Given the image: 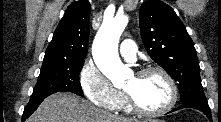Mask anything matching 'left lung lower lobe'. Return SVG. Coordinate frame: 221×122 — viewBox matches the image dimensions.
Masks as SVG:
<instances>
[{"mask_svg":"<svg viewBox=\"0 0 221 122\" xmlns=\"http://www.w3.org/2000/svg\"><path fill=\"white\" fill-rule=\"evenodd\" d=\"M189 107L202 111L204 114L207 115L209 120L212 121L211 111L206 100L183 103V105H181L180 107L176 109H173L169 113L182 109V108H189Z\"/></svg>","mask_w":221,"mask_h":122,"instance_id":"left-lung-lower-lobe-1","label":"left lung lower lobe"}]
</instances>
